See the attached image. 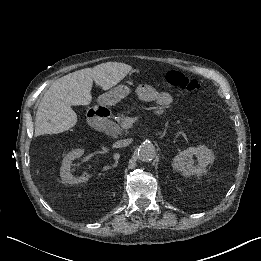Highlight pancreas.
<instances>
[{
  "label": "pancreas",
  "instance_id": "1",
  "mask_svg": "<svg viewBox=\"0 0 261 261\" xmlns=\"http://www.w3.org/2000/svg\"><path fill=\"white\" fill-rule=\"evenodd\" d=\"M125 118V115L124 114H121L118 119L117 118H114L111 123H116V124H121V122L124 120ZM120 126V125H119Z\"/></svg>",
  "mask_w": 261,
  "mask_h": 261
}]
</instances>
